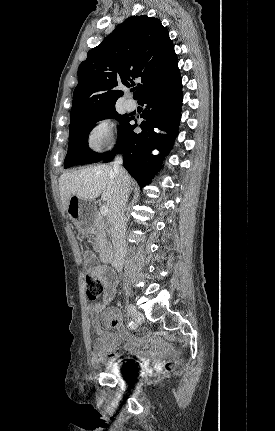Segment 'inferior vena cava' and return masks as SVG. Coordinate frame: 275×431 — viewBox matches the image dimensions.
I'll return each mask as SVG.
<instances>
[{
    "label": "inferior vena cava",
    "mask_w": 275,
    "mask_h": 431,
    "mask_svg": "<svg viewBox=\"0 0 275 431\" xmlns=\"http://www.w3.org/2000/svg\"><path fill=\"white\" fill-rule=\"evenodd\" d=\"M116 179V190L110 204L108 221L114 247L112 266L121 271L124 264L125 249V206L129 195L130 178L122 167V157L117 156L113 162Z\"/></svg>",
    "instance_id": "inferior-vena-cava-1"
}]
</instances>
